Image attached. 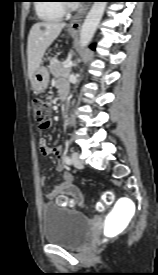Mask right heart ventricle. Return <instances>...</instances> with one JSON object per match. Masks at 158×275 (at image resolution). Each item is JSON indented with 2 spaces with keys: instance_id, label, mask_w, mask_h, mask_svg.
Wrapping results in <instances>:
<instances>
[{
  "instance_id": "right-heart-ventricle-1",
  "label": "right heart ventricle",
  "mask_w": 158,
  "mask_h": 275,
  "mask_svg": "<svg viewBox=\"0 0 158 275\" xmlns=\"http://www.w3.org/2000/svg\"><path fill=\"white\" fill-rule=\"evenodd\" d=\"M61 0H41L36 5L38 16L46 21L61 20L65 15V9Z\"/></svg>"
}]
</instances>
